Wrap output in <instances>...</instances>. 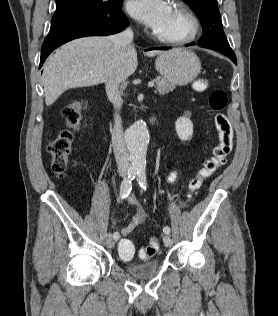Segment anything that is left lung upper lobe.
Masks as SVG:
<instances>
[{"label": "left lung upper lobe", "instance_id": "1", "mask_svg": "<svg viewBox=\"0 0 278 316\" xmlns=\"http://www.w3.org/2000/svg\"><path fill=\"white\" fill-rule=\"evenodd\" d=\"M199 17L203 35L199 40L201 47L222 52L232 61L237 60L235 53L230 48L222 28L217 0H183Z\"/></svg>", "mask_w": 278, "mask_h": 316}]
</instances>
